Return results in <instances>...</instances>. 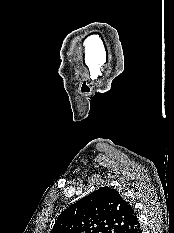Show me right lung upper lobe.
Masks as SVG:
<instances>
[{"mask_svg": "<svg viewBox=\"0 0 174 233\" xmlns=\"http://www.w3.org/2000/svg\"><path fill=\"white\" fill-rule=\"evenodd\" d=\"M133 206L111 187L98 190L64 210L50 233H137Z\"/></svg>", "mask_w": 174, "mask_h": 233, "instance_id": "obj_1", "label": "right lung upper lobe"}]
</instances>
